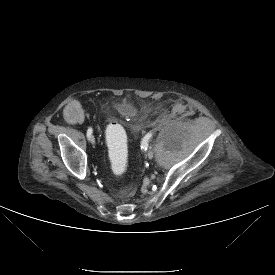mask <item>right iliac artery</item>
Returning <instances> with one entry per match:
<instances>
[{"mask_svg":"<svg viewBox=\"0 0 275 275\" xmlns=\"http://www.w3.org/2000/svg\"><path fill=\"white\" fill-rule=\"evenodd\" d=\"M92 132H93L92 128L89 127V129L87 130V137H88V138H90Z\"/></svg>","mask_w":275,"mask_h":275,"instance_id":"right-iliac-artery-1","label":"right iliac artery"}]
</instances>
